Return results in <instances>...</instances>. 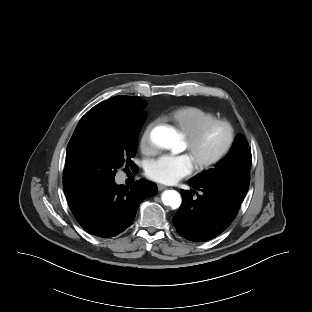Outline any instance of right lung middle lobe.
<instances>
[{"label": "right lung middle lobe", "instance_id": "dd1d6c3e", "mask_svg": "<svg viewBox=\"0 0 312 312\" xmlns=\"http://www.w3.org/2000/svg\"><path fill=\"white\" fill-rule=\"evenodd\" d=\"M141 109L93 107L82 117L67 146L63 173L67 198H79L103 187L124 164L135 167L131 158L147 118Z\"/></svg>", "mask_w": 312, "mask_h": 312}]
</instances>
